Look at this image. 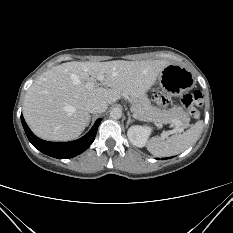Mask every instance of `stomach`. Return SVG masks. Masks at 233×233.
<instances>
[{
    "label": "stomach",
    "instance_id": "stomach-1",
    "mask_svg": "<svg viewBox=\"0 0 233 233\" xmlns=\"http://www.w3.org/2000/svg\"><path fill=\"white\" fill-rule=\"evenodd\" d=\"M193 85L194 77L191 72L187 68L177 64L167 65L158 76V79L152 81L153 87L161 86L164 90L174 96L182 95L184 92L190 90ZM156 111L163 119H167L177 114L176 110L161 112L156 109Z\"/></svg>",
    "mask_w": 233,
    "mask_h": 233
}]
</instances>
